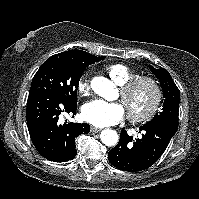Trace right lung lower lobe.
Returning a JSON list of instances; mask_svg holds the SVG:
<instances>
[{"label": "right lung lower lobe", "instance_id": "right-lung-lower-lobe-1", "mask_svg": "<svg viewBox=\"0 0 199 199\" xmlns=\"http://www.w3.org/2000/svg\"><path fill=\"white\" fill-rule=\"evenodd\" d=\"M77 105L65 102L49 91L29 93L26 109L27 126L36 150L53 162H65L76 154L75 140L90 131L86 123H59L61 113L75 115Z\"/></svg>", "mask_w": 199, "mask_h": 199}]
</instances>
